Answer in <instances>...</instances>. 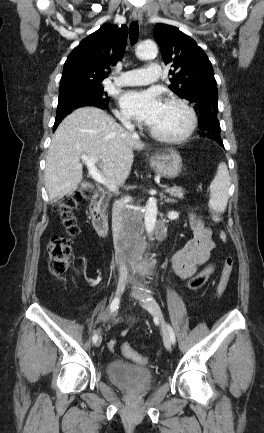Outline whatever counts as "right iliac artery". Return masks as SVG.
Instances as JSON below:
<instances>
[{"mask_svg":"<svg viewBox=\"0 0 264 433\" xmlns=\"http://www.w3.org/2000/svg\"><path fill=\"white\" fill-rule=\"evenodd\" d=\"M118 305H119V299H118V298H115V299L112 301V303L110 304L109 312H110V313L115 312V311L118 309ZM97 339H98V335H97V334H94V336L92 337V341H93V343H96Z\"/></svg>","mask_w":264,"mask_h":433,"instance_id":"obj_1","label":"right iliac artery"}]
</instances>
